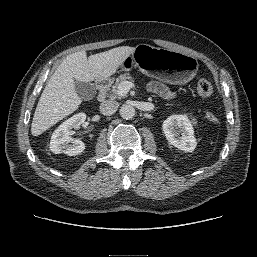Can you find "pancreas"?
<instances>
[{"instance_id":"pancreas-1","label":"pancreas","mask_w":257,"mask_h":257,"mask_svg":"<svg viewBox=\"0 0 257 257\" xmlns=\"http://www.w3.org/2000/svg\"><path fill=\"white\" fill-rule=\"evenodd\" d=\"M133 79H134V78L131 76L130 73H125V74H123V75H120V76L116 79L115 85H113V87H112V94H113V96L124 97L125 95H120V94L118 93V87H119V85H120L122 82L128 81V80L133 81Z\"/></svg>"}]
</instances>
